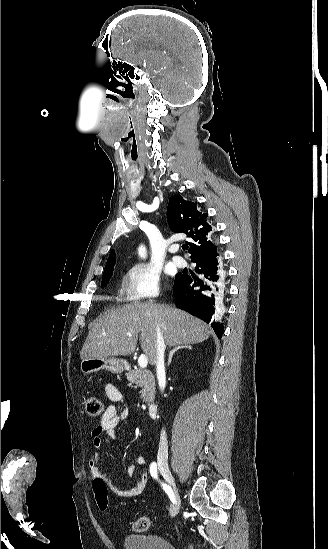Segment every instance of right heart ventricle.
Returning a JSON list of instances; mask_svg holds the SVG:
<instances>
[{"mask_svg":"<svg viewBox=\"0 0 328 549\" xmlns=\"http://www.w3.org/2000/svg\"><path fill=\"white\" fill-rule=\"evenodd\" d=\"M113 299H114V303H126V300H125V298H124V296H123V294H122L121 289H119V290L116 292V294H115V296H114Z\"/></svg>","mask_w":328,"mask_h":549,"instance_id":"1","label":"right heart ventricle"}]
</instances>
